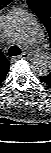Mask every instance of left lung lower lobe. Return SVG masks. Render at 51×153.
<instances>
[{
    "mask_svg": "<svg viewBox=\"0 0 51 153\" xmlns=\"http://www.w3.org/2000/svg\"><path fill=\"white\" fill-rule=\"evenodd\" d=\"M41 82L45 83L49 87H51V78H49L47 75L46 76H41L40 77Z\"/></svg>",
    "mask_w": 51,
    "mask_h": 153,
    "instance_id": "left-lung-lower-lobe-1",
    "label": "left lung lower lobe"
}]
</instances>
